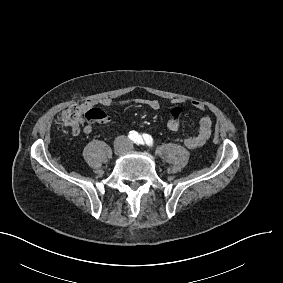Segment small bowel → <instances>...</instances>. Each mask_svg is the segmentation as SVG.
<instances>
[{"instance_id": "obj_1", "label": "small bowel", "mask_w": 283, "mask_h": 283, "mask_svg": "<svg viewBox=\"0 0 283 283\" xmlns=\"http://www.w3.org/2000/svg\"><path fill=\"white\" fill-rule=\"evenodd\" d=\"M192 104L196 111L200 113L204 112L205 107L201 102L193 101ZM98 105L103 107H110L113 105H117L120 107L140 105L145 106L151 110H158L161 107V103L159 100L151 98H131L123 100H114L109 97H104L99 100H87L81 104V108L82 110L86 111L84 113V118L88 122L99 121L101 123H106L109 121V117L103 111L96 108ZM181 113V108L176 107L172 110L171 117L176 116L180 119ZM212 126V118L209 115H203L199 120V127L197 133L195 135L185 138L184 145L190 150H194L203 146L212 134ZM92 131L93 128L90 124L85 126L84 132L86 134H90L92 133Z\"/></svg>"}]
</instances>
